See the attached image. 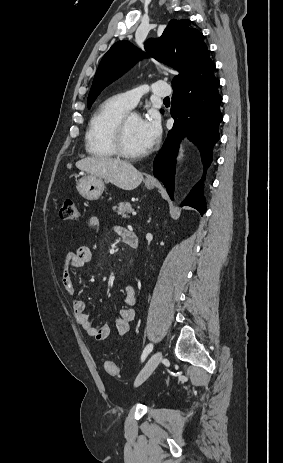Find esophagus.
Here are the masks:
<instances>
[{"label":"esophagus","mask_w":283,"mask_h":463,"mask_svg":"<svg viewBox=\"0 0 283 463\" xmlns=\"http://www.w3.org/2000/svg\"><path fill=\"white\" fill-rule=\"evenodd\" d=\"M147 181H154V179L151 176H148Z\"/></svg>","instance_id":"34e87169"}]
</instances>
